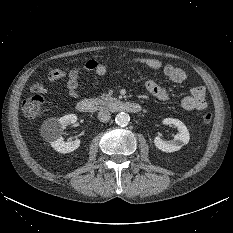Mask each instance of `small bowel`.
I'll use <instances>...</instances> for the list:
<instances>
[{
    "label": "small bowel",
    "mask_w": 233,
    "mask_h": 233,
    "mask_svg": "<svg viewBox=\"0 0 233 233\" xmlns=\"http://www.w3.org/2000/svg\"><path fill=\"white\" fill-rule=\"evenodd\" d=\"M134 61L152 70H159L162 68V63L155 58H136ZM82 70L91 71L100 77L107 73V67L103 63L98 62L96 59H89L81 67L72 68L69 71H64L62 69L51 70L48 74V81L54 83L61 79H66V88L69 96L77 99L79 97L78 79ZM163 72L171 82L176 84L183 83L187 79L184 70L170 64L163 67ZM145 89L151 96L159 100L165 101L170 97L169 92L153 80H147L145 82ZM31 91L36 95H46L50 91V86L48 84L36 83L31 87ZM181 105L186 111L205 110L207 108L205 87H193L190 90V94L182 99Z\"/></svg>",
    "instance_id": "small-bowel-1"
}]
</instances>
